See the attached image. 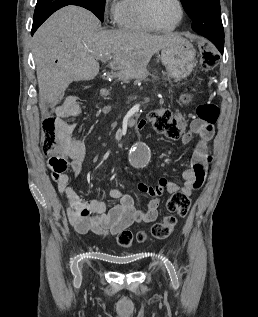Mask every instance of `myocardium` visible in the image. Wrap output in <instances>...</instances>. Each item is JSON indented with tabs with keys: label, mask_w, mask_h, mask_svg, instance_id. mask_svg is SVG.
<instances>
[{
	"label": "myocardium",
	"mask_w": 258,
	"mask_h": 317,
	"mask_svg": "<svg viewBox=\"0 0 258 317\" xmlns=\"http://www.w3.org/2000/svg\"><path fill=\"white\" fill-rule=\"evenodd\" d=\"M156 0H148L146 2V5L144 7V12H143V16H144V20L146 22V24L151 27L153 30L155 31H159V32H170V31H173L175 30L179 24L181 23L182 19H183V15H184V9H183V4H182V1L181 0H175L178 4V8H179V17L176 21V23L174 25H172L171 27L169 28H162V27H159L157 25L154 24V22L152 21V18H151V7L153 5V3L155 2Z\"/></svg>",
	"instance_id": "myocardium-1"
}]
</instances>
